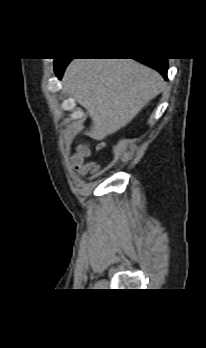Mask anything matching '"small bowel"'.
Segmentation results:
<instances>
[{"mask_svg":"<svg viewBox=\"0 0 206 348\" xmlns=\"http://www.w3.org/2000/svg\"><path fill=\"white\" fill-rule=\"evenodd\" d=\"M99 166L95 163L84 164L77 167V171L82 175H90L98 170Z\"/></svg>","mask_w":206,"mask_h":348,"instance_id":"1","label":"small bowel"}]
</instances>
